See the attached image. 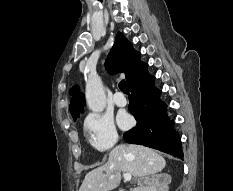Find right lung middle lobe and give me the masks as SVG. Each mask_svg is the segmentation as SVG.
Segmentation results:
<instances>
[{"label":"right lung middle lobe","instance_id":"right-lung-middle-lobe-1","mask_svg":"<svg viewBox=\"0 0 233 191\" xmlns=\"http://www.w3.org/2000/svg\"><path fill=\"white\" fill-rule=\"evenodd\" d=\"M79 117V113L76 115H73V119L76 120Z\"/></svg>","mask_w":233,"mask_h":191}]
</instances>
